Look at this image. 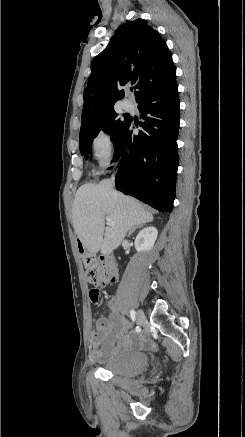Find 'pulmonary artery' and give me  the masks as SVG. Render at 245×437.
<instances>
[{"mask_svg":"<svg viewBox=\"0 0 245 437\" xmlns=\"http://www.w3.org/2000/svg\"><path fill=\"white\" fill-rule=\"evenodd\" d=\"M122 107L126 111H130L133 109V103L130 100H124L122 102Z\"/></svg>","mask_w":245,"mask_h":437,"instance_id":"pulmonary-artery-1","label":"pulmonary artery"}]
</instances>
